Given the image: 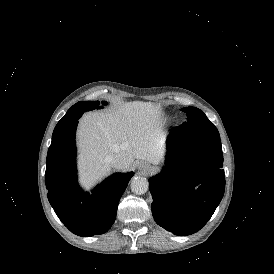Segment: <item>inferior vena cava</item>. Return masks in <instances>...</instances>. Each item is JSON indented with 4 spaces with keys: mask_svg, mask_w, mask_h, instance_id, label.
Returning a JSON list of instances; mask_svg holds the SVG:
<instances>
[{
    "mask_svg": "<svg viewBox=\"0 0 274 274\" xmlns=\"http://www.w3.org/2000/svg\"><path fill=\"white\" fill-rule=\"evenodd\" d=\"M106 163H108L111 167H119L120 161L116 155H108L105 158Z\"/></svg>",
    "mask_w": 274,
    "mask_h": 274,
    "instance_id": "1",
    "label": "inferior vena cava"
}]
</instances>
